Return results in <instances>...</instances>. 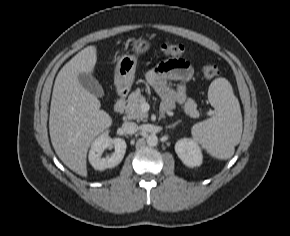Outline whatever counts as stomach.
I'll return each instance as SVG.
<instances>
[{"label": "stomach", "instance_id": "1", "mask_svg": "<svg viewBox=\"0 0 290 236\" xmlns=\"http://www.w3.org/2000/svg\"><path fill=\"white\" fill-rule=\"evenodd\" d=\"M151 48V43L139 38L133 42L134 54L122 55L116 64L114 83L118 90H128L131 88L135 77L137 58L139 55L146 53Z\"/></svg>", "mask_w": 290, "mask_h": 236}]
</instances>
